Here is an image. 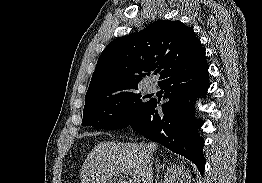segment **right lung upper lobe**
Returning a JSON list of instances; mask_svg holds the SVG:
<instances>
[{
  "label": "right lung upper lobe",
  "instance_id": "cb5924a9",
  "mask_svg": "<svg viewBox=\"0 0 262 183\" xmlns=\"http://www.w3.org/2000/svg\"><path fill=\"white\" fill-rule=\"evenodd\" d=\"M206 62L193 28L180 21L158 20L142 31L117 38L101 53L85 103L138 87L155 70L159 83Z\"/></svg>",
  "mask_w": 262,
  "mask_h": 183
}]
</instances>
